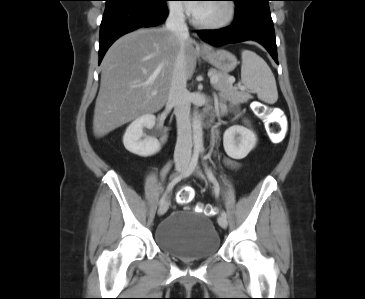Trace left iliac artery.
Wrapping results in <instances>:
<instances>
[{
	"instance_id": "left-iliac-artery-1",
	"label": "left iliac artery",
	"mask_w": 365,
	"mask_h": 299,
	"mask_svg": "<svg viewBox=\"0 0 365 299\" xmlns=\"http://www.w3.org/2000/svg\"><path fill=\"white\" fill-rule=\"evenodd\" d=\"M205 167V171L207 174V177L209 178V180L213 183L214 185V191H215V195L216 197L219 196V192H220V186L215 178V176L213 175L212 171L208 168L207 164H204ZM221 215L226 217V212L224 210L221 211Z\"/></svg>"
}]
</instances>
